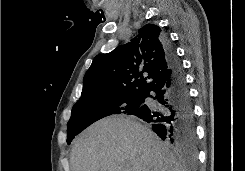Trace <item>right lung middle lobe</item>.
Instances as JSON below:
<instances>
[{
    "instance_id": "obj_1",
    "label": "right lung middle lobe",
    "mask_w": 245,
    "mask_h": 171,
    "mask_svg": "<svg viewBox=\"0 0 245 171\" xmlns=\"http://www.w3.org/2000/svg\"><path fill=\"white\" fill-rule=\"evenodd\" d=\"M142 104V95H116L97 100L77 101L67 124V143L70 144L75 135L95 121L113 114L132 115Z\"/></svg>"
}]
</instances>
